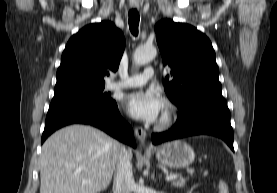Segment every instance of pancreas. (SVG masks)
Here are the masks:
<instances>
[{"mask_svg": "<svg viewBox=\"0 0 277 193\" xmlns=\"http://www.w3.org/2000/svg\"><path fill=\"white\" fill-rule=\"evenodd\" d=\"M186 178H179V179H176V180H173L172 181V185L174 186V187H183L184 185H185V183H186Z\"/></svg>", "mask_w": 277, "mask_h": 193, "instance_id": "1", "label": "pancreas"}]
</instances>
